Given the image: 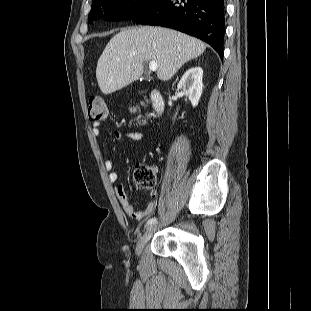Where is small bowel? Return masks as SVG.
Listing matches in <instances>:
<instances>
[{
  "mask_svg": "<svg viewBox=\"0 0 311 311\" xmlns=\"http://www.w3.org/2000/svg\"><path fill=\"white\" fill-rule=\"evenodd\" d=\"M100 126L101 125L99 122H95L92 125V133L96 137L100 136L101 134ZM113 136L118 141L128 139L131 141L138 142V141L143 140L144 138L143 133L139 131L123 132L120 130H115L113 132ZM104 168L108 172L109 181L111 183H116L118 180V174L116 171H114V163L111 158H108L104 161ZM115 193L124 212L131 219H134L137 221H143L146 218H148L154 211L155 204L153 201L148 202V204L146 205L144 209L136 210L130 203L128 196L126 194L125 188L121 184L115 187Z\"/></svg>",
  "mask_w": 311,
  "mask_h": 311,
  "instance_id": "c3829d8e",
  "label": "small bowel"
}]
</instances>
